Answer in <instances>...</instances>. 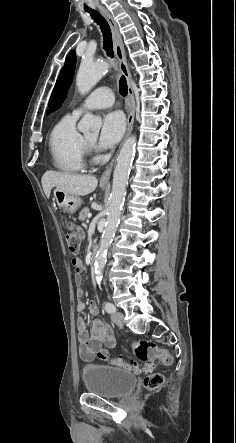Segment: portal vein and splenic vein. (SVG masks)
Returning a JSON list of instances; mask_svg holds the SVG:
<instances>
[{"instance_id":"obj_1","label":"portal vein and splenic vein","mask_w":236,"mask_h":443,"mask_svg":"<svg viewBox=\"0 0 236 443\" xmlns=\"http://www.w3.org/2000/svg\"><path fill=\"white\" fill-rule=\"evenodd\" d=\"M91 216H92V214H91V213H89V214L87 215V217H88V218H91Z\"/></svg>"}]
</instances>
